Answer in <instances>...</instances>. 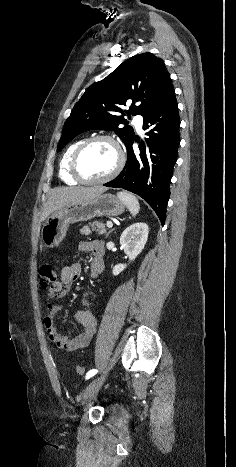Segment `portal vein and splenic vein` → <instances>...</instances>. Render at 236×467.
<instances>
[{"label": "portal vein and splenic vein", "mask_w": 236, "mask_h": 467, "mask_svg": "<svg viewBox=\"0 0 236 467\" xmlns=\"http://www.w3.org/2000/svg\"><path fill=\"white\" fill-rule=\"evenodd\" d=\"M106 225H107L108 228H112V227H113V224H112V222H110V221H107Z\"/></svg>", "instance_id": "obj_1"}]
</instances>
